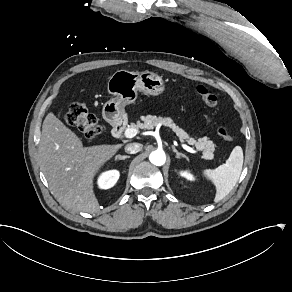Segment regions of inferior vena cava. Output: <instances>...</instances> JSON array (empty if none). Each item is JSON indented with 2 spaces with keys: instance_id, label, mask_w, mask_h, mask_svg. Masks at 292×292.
Instances as JSON below:
<instances>
[{
  "instance_id": "inferior-vena-cava-1",
  "label": "inferior vena cava",
  "mask_w": 292,
  "mask_h": 292,
  "mask_svg": "<svg viewBox=\"0 0 292 292\" xmlns=\"http://www.w3.org/2000/svg\"><path fill=\"white\" fill-rule=\"evenodd\" d=\"M142 145L140 143H130L125 146V152L135 154L141 151Z\"/></svg>"
}]
</instances>
